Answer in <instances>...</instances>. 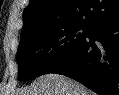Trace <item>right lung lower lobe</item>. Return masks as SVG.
Wrapping results in <instances>:
<instances>
[{"mask_svg": "<svg viewBox=\"0 0 119 95\" xmlns=\"http://www.w3.org/2000/svg\"><path fill=\"white\" fill-rule=\"evenodd\" d=\"M48 73L70 77L100 95H119V16L91 27Z\"/></svg>", "mask_w": 119, "mask_h": 95, "instance_id": "obj_1", "label": "right lung lower lobe"}]
</instances>
